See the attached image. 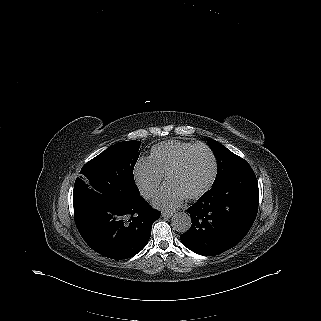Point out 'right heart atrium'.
Instances as JSON below:
<instances>
[{"label": "right heart atrium", "mask_w": 321, "mask_h": 321, "mask_svg": "<svg viewBox=\"0 0 321 321\" xmlns=\"http://www.w3.org/2000/svg\"><path fill=\"white\" fill-rule=\"evenodd\" d=\"M132 176L139 191L147 198L155 194L162 178L147 158L138 159L134 166Z\"/></svg>", "instance_id": "1"}]
</instances>
